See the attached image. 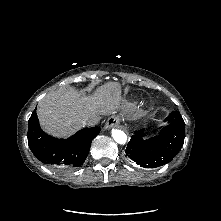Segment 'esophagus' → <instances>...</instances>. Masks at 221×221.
<instances>
[{"label":"esophagus","mask_w":221,"mask_h":221,"mask_svg":"<svg viewBox=\"0 0 221 221\" xmlns=\"http://www.w3.org/2000/svg\"><path fill=\"white\" fill-rule=\"evenodd\" d=\"M119 124H120V118L116 115H112L107 119L104 125V129L108 130L117 127Z\"/></svg>","instance_id":"obj_1"}]
</instances>
